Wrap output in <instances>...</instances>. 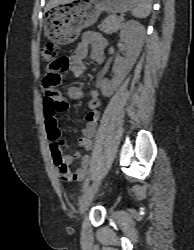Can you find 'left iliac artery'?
Listing matches in <instances>:
<instances>
[{"label": "left iliac artery", "mask_w": 194, "mask_h": 250, "mask_svg": "<svg viewBox=\"0 0 194 250\" xmlns=\"http://www.w3.org/2000/svg\"><path fill=\"white\" fill-rule=\"evenodd\" d=\"M89 178H87L83 184V189H82V192H84L87 188H88V185H89Z\"/></svg>", "instance_id": "obj_1"}]
</instances>
